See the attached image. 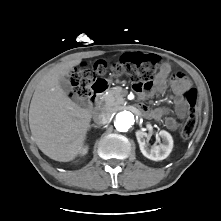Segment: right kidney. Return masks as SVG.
I'll list each match as a JSON object with an SVG mask.
<instances>
[{
	"label": "right kidney",
	"mask_w": 221,
	"mask_h": 221,
	"mask_svg": "<svg viewBox=\"0 0 221 221\" xmlns=\"http://www.w3.org/2000/svg\"><path fill=\"white\" fill-rule=\"evenodd\" d=\"M87 151H88V147L86 146V147H84V148L81 149L80 153H81L82 155H85V154L87 153Z\"/></svg>",
	"instance_id": "1"
}]
</instances>
